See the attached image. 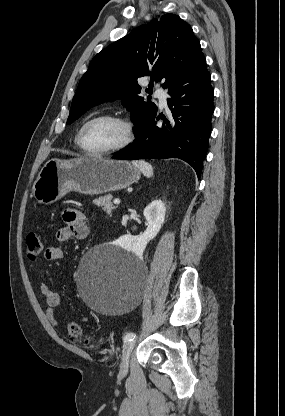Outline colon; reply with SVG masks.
<instances>
[{
    "mask_svg": "<svg viewBox=\"0 0 285 416\" xmlns=\"http://www.w3.org/2000/svg\"><path fill=\"white\" fill-rule=\"evenodd\" d=\"M43 250V242L38 234L30 233L26 237V251L30 260H36ZM69 337L78 343H89V339L84 335L81 326L76 322H70L67 326Z\"/></svg>",
    "mask_w": 285,
    "mask_h": 416,
    "instance_id": "obj_1",
    "label": "colon"
}]
</instances>
